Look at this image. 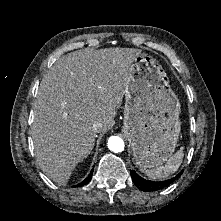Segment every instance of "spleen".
I'll use <instances>...</instances> for the list:
<instances>
[{
  "instance_id": "spleen-1",
  "label": "spleen",
  "mask_w": 221,
  "mask_h": 221,
  "mask_svg": "<svg viewBox=\"0 0 221 221\" xmlns=\"http://www.w3.org/2000/svg\"><path fill=\"white\" fill-rule=\"evenodd\" d=\"M183 147H181L173 156H171L165 165L156 168L148 169L145 174L150 179H163L168 177L170 174L175 173L182 163L184 156Z\"/></svg>"
}]
</instances>
